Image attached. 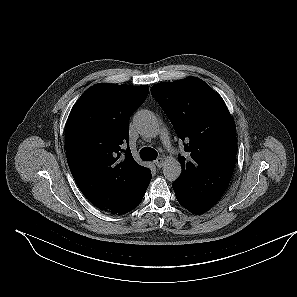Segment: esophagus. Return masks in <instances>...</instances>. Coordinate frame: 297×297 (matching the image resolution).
I'll list each match as a JSON object with an SVG mask.
<instances>
[{"label":"esophagus","mask_w":297,"mask_h":297,"mask_svg":"<svg viewBox=\"0 0 297 297\" xmlns=\"http://www.w3.org/2000/svg\"><path fill=\"white\" fill-rule=\"evenodd\" d=\"M154 163L158 168H161L164 165V158L159 157L155 160Z\"/></svg>","instance_id":"1"}]
</instances>
